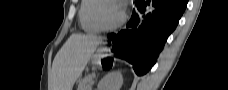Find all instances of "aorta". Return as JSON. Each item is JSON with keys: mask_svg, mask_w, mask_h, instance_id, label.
Returning a JSON list of instances; mask_svg holds the SVG:
<instances>
[{"mask_svg": "<svg viewBox=\"0 0 228 90\" xmlns=\"http://www.w3.org/2000/svg\"><path fill=\"white\" fill-rule=\"evenodd\" d=\"M149 10H150V8H149V7H147V8H146V12H145V14H146Z\"/></svg>", "mask_w": 228, "mask_h": 90, "instance_id": "obj_1", "label": "aorta"}]
</instances>
